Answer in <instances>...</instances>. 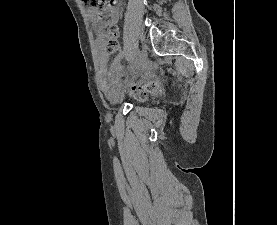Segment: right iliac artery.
<instances>
[{
  "mask_svg": "<svg viewBox=\"0 0 277 225\" xmlns=\"http://www.w3.org/2000/svg\"><path fill=\"white\" fill-rule=\"evenodd\" d=\"M137 63H138V54L136 53L132 59L131 63V69L134 72V70L137 68Z\"/></svg>",
  "mask_w": 277,
  "mask_h": 225,
  "instance_id": "82829eb1",
  "label": "right iliac artery"
}]
</instances>
